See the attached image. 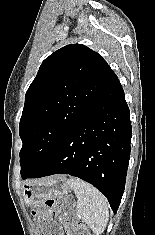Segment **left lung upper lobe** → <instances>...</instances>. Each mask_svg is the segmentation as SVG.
<instances>
[{
  "instance_id": "5c2ea615",
  "label": "left lung upper lobe",
  "mask_w": 155,
  "mask_h": 235,
  "mask_svg": "<svg viewBox=\"0 0 155 235\" xmlns=\"http://www.w3.org/2000/svg\"><path fill=\"white\" fill-rule=\"evenodd\" d=\"M114 76L98 53L81 44L62 47L43 61L20 119L23 179L47 163Z\"/></svg>"
}]
</instances>
